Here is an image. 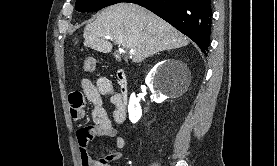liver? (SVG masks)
Returning <instances> with one entry per match:
<instances>
[{
  "instance_id": "6515ba94",
  "label": "liver",
  "mask_w": 277,
  "mask_h": 166,
  "mask_svg": "<svg viewBox=\"0 0 277 166\" xmlns=\"http://www.w3.org/2000/svg\"><path fill=\"white\" fill-rule=\"evenodd\" d=\"M114 44L135 51L132 61L140 63L161 51L181 48L189 39L172 25L132 3H118L103 9L84 30V46L110 53Z\"/></svg>"
}]
</instances>
